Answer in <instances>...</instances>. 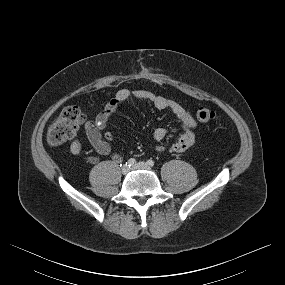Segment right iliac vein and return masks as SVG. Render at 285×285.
<instances>
[{
  "label": "right iliac vein",
  "instance_id": "1",
  "mask_svg": "<svg viewBox=\"0 0 285 285\" xmlns=\"http://www.w3.org/2000/svg\"><path fill=\"white\" fill-rule=\"evenodd\" d=\"M130 171V168L127 165H123L121 172L123 175H126Z\"/></svg>",
  "mask_w": 285,
  "mask_h": 285
}]
</instances>
